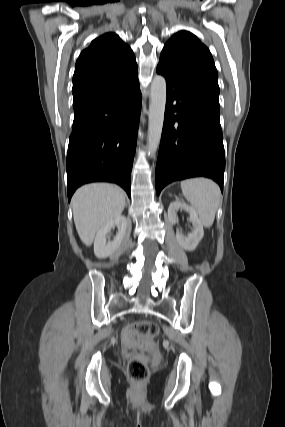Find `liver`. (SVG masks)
<instances>
[{"mask_svg":"<svg viewBox=\"0 0 285 427\" xmlns=\"http://www.w3.org/2000/svg\"><path fill=\"white\" fill-rule=\"evenodd\" d=\"M124 192L117 186L94 183L79 188L72 198L73 217L81 241L90 246L97 231L121 215Z\"/></svg>","mask_w":285,"mask_h":427,"instance_id":"1","label":"liver"}]
</instances>
